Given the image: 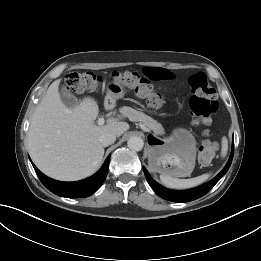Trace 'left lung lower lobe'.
Segmentation results:
<instances>
[{"mask_svg": "<svg viewBox=\"0 0 261 261\" xmlns=\"http://www.w3.org/2000/svg\"><path fill=\"white\" fill-rule=\"evenodd\" d=\"M233 154H234V141H233L230 158H229L226 166L223 168V170L214 179H212L208 183H205L199 187H196V188L190 189V190L176 191V190H171V189L162 187L161 185H159L157 182H155L150 177V175L148 174L145 167H143V170H144V173H145V176H146V179H147L149 185L151 186V188L154 190V192L157 195H159L160 197H162L166 200L173 201V202H188V201H192V200L202 197L203 195H205L208 191H210L212 189V187L228 171V169L231 165L232 159H233Z\"/></svg>", "mask_w": 261, "mask_h": 261, "instance_id": "1", "label": "left lung lower lobe"}]
</instances>
